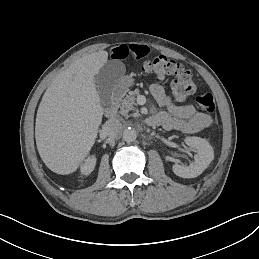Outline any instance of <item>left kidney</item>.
I'll list each match as a JSON object with an SVG mask.
<instances>
[{
	"mask_svg": "<svg viewBox=\"0 0 259 259\" xmlns=\"http://www.w3.org/2000/svg\"><path fill=\"white\" fill-rule=\"evenodd\" d=\"M186 145L198 149V154L195 155V162L189 167L173 164L172 172L181 178H195L214 160V151L207 141L197 137L186 139Z\"/></svg>",
	"mask_w": 259,
	"mask_h": 259,
	"instance_id": "left-kidney-1",
	"label": "left kidney"
}]
</instances>
